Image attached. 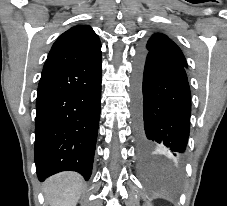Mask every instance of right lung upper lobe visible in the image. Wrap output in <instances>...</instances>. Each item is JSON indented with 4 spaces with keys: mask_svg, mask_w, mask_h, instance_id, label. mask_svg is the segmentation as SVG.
Here are the masks:
<instances>
[{
    "mask_svg": "<svg viewBox=\"0 0 227 206\" xmlns=\"http://www.w3.org/2000/svg\"><path fill=\"white\" fill-rule=\"evenodd\" d=\"M101 58L98 35L88 25H77L64 32L53 44L42 76L89 64Z\"/></svg>",
    "mask_w": 227,
    "mask_h": 206,
    "instance_id": "obj_1",
    "label": "right lung upper lobe"
}]
</instances>
